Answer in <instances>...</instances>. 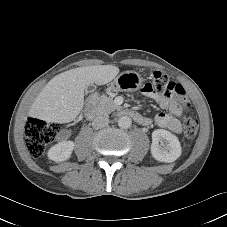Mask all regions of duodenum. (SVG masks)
Instances as JSON below:
<instances>
[{
    "instance_id": "410a0bca",
    "label": "duodenum",
    "mask_w": 227,
    "mask_h": 227,
    "mask_svg": "<svg viewBox=\"0 0 227 227\" xmlns=\"http://www.w3.org/2000/svg\"><path fill=\"white\" fill-rule=\"evenodd\" d=\"M97 97H98L97 95H93L87 100L85 115H86V118L89 120L93 119L95 116L94 106H95ZM117 114L119 116L130 117L138 123L143 124L145 122V117H143L139 112L134 111V110L120 108V109H118Z\"/></svg>"
}]
</instances>
